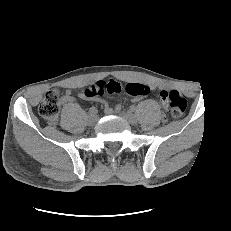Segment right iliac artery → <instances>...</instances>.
Instances as JSON below:
<instances>
[{
	"label": "right iliac artery",
	"instance_id": "obj_1",
	"mask_svg": "<svg viewBox=\"0 0 231 231\" xmlns=\"http://www.w3.org/2000/svg\"><path fill=\"white\" fill-rule=\"evenodd\" d=\"M98 112L97 108L95 107H91L90 110H89V114L90 115H96Z\"/></svg>",
	"mask_w": 231,
	"mask_h": 231
}]
</instances>
